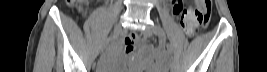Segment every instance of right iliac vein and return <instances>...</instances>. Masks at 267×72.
I'll return each instance as SVG.
<instances>
[{
  "label": "right iliac vein",
  "mask_w": 267,
  "mask_h": 72,
  "mask_svg": "<svg viewBox=\"0 0 267 72\" xmlns=\"http://www.w3.org/2000/svg\"><path fill=\"white\" fill-rule=\"evenodd\" d=\"M121 33H122V25H121V24H117V25L115 26V28H114L113 35L117 37V36H119ZM108 44H109V42H106V43H104V44L102 45V47H101V52H103V51L106 49V47L108 46Z\"/></svg>",
  "instance_id": "obj_1"
}]
</instances>
